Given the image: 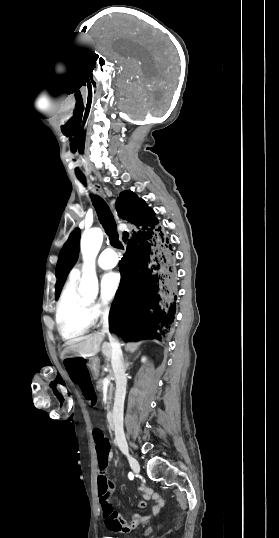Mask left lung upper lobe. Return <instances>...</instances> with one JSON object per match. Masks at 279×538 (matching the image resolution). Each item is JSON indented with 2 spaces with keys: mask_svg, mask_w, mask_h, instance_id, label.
<instances>
[{
  "mask_svg": "<svg viewBox=\"0 0 279 538\" xmlns=\"http://www.w3.org/2000/svg\"><path fill=\"white\" fill-rule=\"evenodd\" d=\"M80 235V229L75 228L59 253L56 268V299H58L61 293L69 271L78 259Z\"/></svg>",
  "mask_w": 279,
  "mask_h": 538,
  "instance_id": "left-lung-upper-lobe-1",
  "label": "left lung upper lobe"
}]
</instances>
